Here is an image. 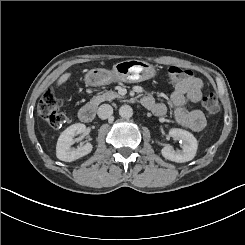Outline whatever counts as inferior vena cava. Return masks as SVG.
I'll return each mask as SVG.
<instances>
[{"label": "inferior vena cava", "instance_id": "1", "mask_svg": "<svg viewBox=\"0 0 245 245\" xmlns=\"http://www.w3.org/2000/svg\"><path fill=\"white\" fill-rule=\"evenodd\" d=\"M113 113V108L109 105V104H102L99 108H98V116L101 119H107L109 118Z\"/></svg>", "mask_w": 245, "mask_h": 245}]
</instances>
